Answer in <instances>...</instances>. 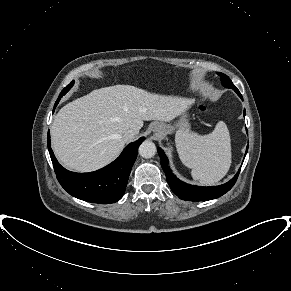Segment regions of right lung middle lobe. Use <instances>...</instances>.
Segmentation results:
<instances>
[{
  "instance_id": "dd1d6c3e",
  "label": "right lung middle lobe",
  "mask_w": 291,
  "mask_h": 291,
  "mask_svg": "<svg viewBox=\"0 0 291 291\" xmlns=\"http://www.w3.org/2000/svg\"><path fill=\"white\" fill-rule=\"evenodd\" d=\"M73 84H74V81H72L68 86H66L63 90H62V92L60 93V95H59V97H58V99H57V101H56V103H55V106H54V108L57 106V104H58V102L60 101V99L62 98V96H64L69 90H70V88L73 86Z\"/></svg>"
}]
</instances>
